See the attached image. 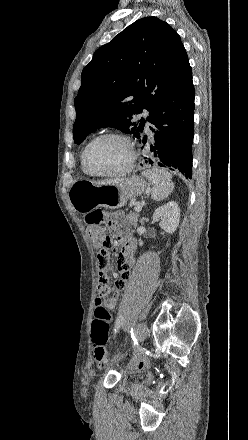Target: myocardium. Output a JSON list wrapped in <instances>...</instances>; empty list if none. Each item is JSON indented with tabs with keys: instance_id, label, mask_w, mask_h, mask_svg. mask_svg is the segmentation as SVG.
Returning <instances> with one entry per match:
<instances>
[{
	"instance_id": "obj_1",
	"label": "myocardium",
	"mask_w": 248,
	"mask_h": 440,
	"mask_svg": "<svg viewBox=\"0 0 248 440\" xmlns=\"http://www.w3.org/2000/svg\"><path fill=\"white\" fill-rule=\"evenodd\" d=\"M105 138H118L121 139L122 141H124L128 148H129V160L126 164V166L118 171H114V172H97L95 170H93L89 164V153L91 148L100 140L105 139ZM137 159V153L134 147V144L131 140V138L121 132L118 131H109V132H105L102 133L96 137H94L86 146L85 151H84V155H83V161H84V165L85 168L87 169V171L93 175V176H97V177H120L123 176L127 173H129L133 167L134 164L136 162Z\"/></svg>"
}]
</instances>
